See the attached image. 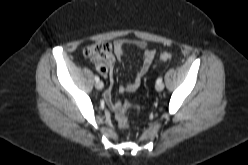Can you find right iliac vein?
Wrapping results in <instances>:
<instances>
[{
  "label": "right iliac vein",
  "instance_id": "63e3f726",
  "mask_svg": "<svg viewBox=\"0 0 248 165\" xmlns=\"http://www.w3.org/2000/svg\"><path fill=\"white\" fill-rule=\"evenodd\" d=\"M95 87H96L98 90H102L103 87H104V84H103L102 81H97V82L95 83Z\"/></svg>",
  "mask_w": 248,
  "mask_h": 165
}]
</instances>
